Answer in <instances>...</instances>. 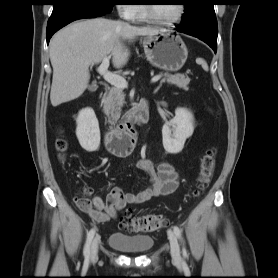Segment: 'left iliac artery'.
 I'll return each instance as SVG.
<instances>
[{"instance_id": "1", "label": "left iliac artery", "mask_w": 278, "mask_h": 278, "mask_svg": "<svg viewBox=\"0 0 278 278\" xmlns=\"http://www.w3.org/2000/svg\"><path fill=\"white\" fill-rule=\"evenodd\" d=\"M174 233L177 236V238H179V239L181 238V230L178 226L174 227Z\"/></svg>"}]
</instances>
